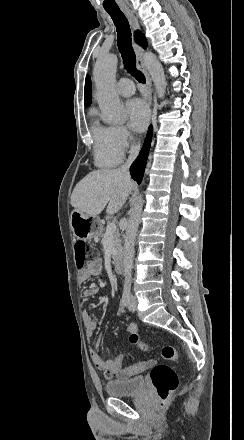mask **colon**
Instances as JSON below:
<instances>
[{
    "instance_id": "5ec220e1",
    "label": "colon",
    "mask_w": 244,
    "mask_h": 440,
    "mask_svg": "<svg viewBox=\"0 0 244 440\" xmlns=\"http://www.w3.org/2000/svg\"><path fill=\"white\" fill-rule=\"evenodd\" d=\"M97 255L95 248H90L85 241L79 240L75 244V263L78 270H84L88 262L94 260ZM136 322H131L129 331H134ZM129 340L132 344H137L143 353L149 354L155 350L151 344L143 342L138 336L130 335ZM161 357L168 361H178L180 356L177 349L172 345H165L160 350ZM110 379V376H108ZM152 383L156 395L161 403H165L171 397L172 392L178 386V377L176 373L167 365L159 364L152 368Z\"/></svg>"
}]
</instances>
